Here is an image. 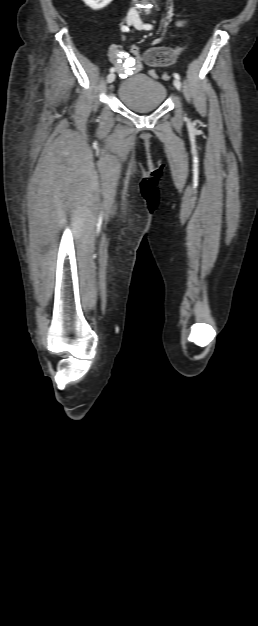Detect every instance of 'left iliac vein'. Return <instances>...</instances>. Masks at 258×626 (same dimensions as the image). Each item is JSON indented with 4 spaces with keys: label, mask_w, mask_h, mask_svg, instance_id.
I'll return each instance as SVG.
<instances>
[{
    "label": "left iliac vein",
    "mask_w": 258,
    "mask_h": 626,
    "mask_svg": "<svg viewBox=\"0 0 258 626\" xmlns=\"http://www.w3.org/2000/svg\"><path fill=\"white\" fill-rule=\"evenodd\" d=\"M134 26L135 28L141 30L143 26V22L140 19H136ZM173 84L176 87V89L181 90V82L179 81V79H174Z\"/></svg>",
    "instance_id": "1"
}]
</instances>
